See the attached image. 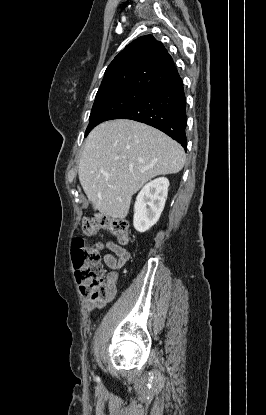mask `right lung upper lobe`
I'll use <instances>...</instances> for the list:
<instances>
[{
  "mask_svg": "<svg viewBox=\"0 0 266 415\" xmlns=\"http://www.w3.org/2000/svg\"><path fill=\"white\" fill-rule=\"evenodd\" d=\"M177 77L179 73L163 44L146 35L132 41L114 58L97 93L116 89L150 92Z\"/></svg>",
  "mask_w": 266,
  "mask_h": 415,
  "instance_id": "right-lung-upper-lobe-1",
  "label": "right lung upper lobe"
}]
</instances>
